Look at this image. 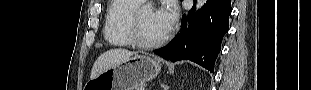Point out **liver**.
<instances>
[{
    "label": "liver",
    "instance_id": "1",
    "mask_svg": "<svg viewBox=\"0 0 311 90\" xmlns=\"http://www.w3.org/2000/svg\"><path fill=\"white\" fill-rule=\"evenodd\" d=\"M134 54H136V52L122 48H115L104 52L95 61L90 78L94 79L105 70L120 65Z\"/></svg>",
    "mask_w": 311,
    "mask_h": 90
}]
</instances>
